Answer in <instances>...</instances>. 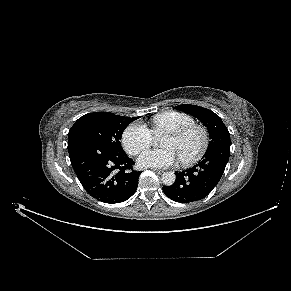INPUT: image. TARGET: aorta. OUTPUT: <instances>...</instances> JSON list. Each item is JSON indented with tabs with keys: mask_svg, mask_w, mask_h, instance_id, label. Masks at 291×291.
Returning <instances> with one entry per match:
<instances>
[{
	"mask_svg": "<svg viewBox=\"0 0 291 291\" xmlns=\"http://www.w3.org/2000/svg\"><path fill=\"white\" fill-rule=\"evenodd\" d=\"M175 180H176V176H175L174 172L170 171V172H164L162 174V182L166 186L173 185Z\"/></svg>",
	"mask_w": 291,
	"mask_h": 291,
	"instance_id": "aorta-1",
	"label": "aorta"
}]
</instances>
